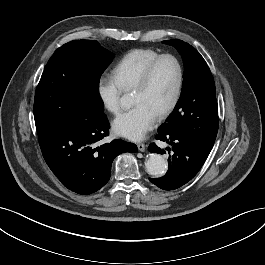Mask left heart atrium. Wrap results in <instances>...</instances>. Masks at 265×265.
<instances>
[{"instance_id":"39dd6f15","label":"left heart atrium","mask_w":265,"mask_h":265,"mask_svg":"<svg viewBox=\"0 0 265 265\" xmlns=\"http://www.w3.org/2000/svg\"><path fill=\"white\" fill-rule=\"evenodd\" d=\"M156 119L157 115L148 107L136 104L116 117L112 127L116 134L132 141H139L152 129Z\"/></svg>"}]
</instances>
